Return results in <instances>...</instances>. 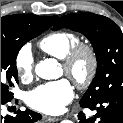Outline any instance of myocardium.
<instances>
[{"label": "myocardium", "mask_w": 123, "mask_h": 123, "mask_svg": "<svg viewBox=\"0 0 123 123\" xmlns=\"http://www.w3.org/2000/svg\"><path fill=\"white\" fill-rule=\"evenodd\" d=\"M83 57L88 60L87 72L82 77H76L74 74L75 65ZM62 67L65 74L71 78L78 88H88L98 72L99 60L96 49L89 43H77L62 59Z\"/></svg>", "instance_id": "obj_1"}]
</instances>
